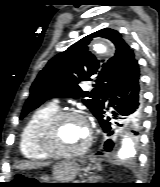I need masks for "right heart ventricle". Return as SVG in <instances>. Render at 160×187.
Wrapping results in <instances>:
<instances>
[{
	"label": "right heart ventricle",
	"mask_w": 160,
	"mask_h": 187,
	"mask_svg": "<svg viewBox=\"0 0 160 187\" xmlns=\"http://www.w3.org/2000/svg\"><path fill=\"white\" fill-rule=\"evenodd\" d=\"M57 111V105L49 103L32 113L20 138V150L24 157L31 160H42L49 157L40 147L39 132L44 121Z\"/></svg>",
	"instance_id": "e07e8e85"
}]
</instances>
